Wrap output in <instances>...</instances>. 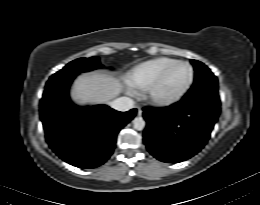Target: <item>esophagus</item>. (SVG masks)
<instances>
[{"label": "esophagus", "mask_w": 260, "mask_h": 205, "mask_svg": "<svg viewBox=\"0 0 260 205\" xmlns=\"http://www.w3.org/2000/svg\"><path fill=\"white\" fill-rule=\"evenodd\" d=\"M137 115L138 116L142 115V109L140 107H137Z\"/></svg>", "instance_id": "34e87169"}]
</instances>
